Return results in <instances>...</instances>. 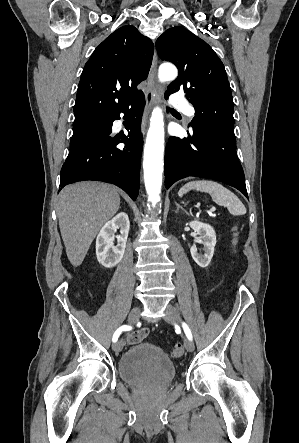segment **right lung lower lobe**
Listing matches in <instances>:
<instances>
[{
  "label": "right lung lower lobe",
  "mask_w": 299,
  "mask_h": 443,
  "mask_svg": "<svg viewBox=\"0 0 299 443\" xmlns=\"http://www.w3.org/2000/svg\"><path fill=\"white\" fill-rule=\"evenodd\" d=\"M144 105V94H141L132 102L131 108L123 107L102 116L105 132L70 150L61 169L60 189L78 181H103L117 185L136 200L143 146L141 117ZM120 113H124L127 121L128 136H111L113 121L120 119ZM119 143L125 146L117 147Z\"/></svg>",
  "instance_id": "1"
}]
</instances>
